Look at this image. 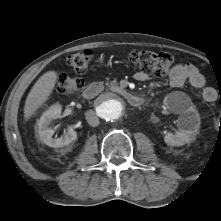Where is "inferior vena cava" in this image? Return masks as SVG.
<instances>
[{
    "label": "inferior vena cava",
    "instance_id": "inferior-vena-cava-1",
    "mask_svg": "<svg viewBox=\"0 0 221 221\" xmlns=\"http://www.w3.org/2000/svg\"><path fill=\"white\" fill-rule=\"evenodd\" d=\"M86 119H87L88 124L93 127H96L99 125V119L93 111H89L86 113Z\"/></svg>",
    "mask_w": 221,
    "mask_h": 221
}]
</instances>
